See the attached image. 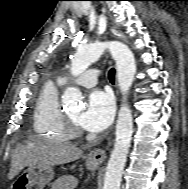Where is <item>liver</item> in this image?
Instances as JSON below:
<instances>
[{
    "label": "liver",
    "instance_id": "1",
    "mask_svg": "<svg viewBox=\"0 0 188 189\" xmlns=\"http://www.w3.org/2000/svg\"><path fill=\"white\" fill-rule=\"evenodd\" d=\"M83 155V151L70 144L45 143L41 145H17L13 154L8 179L12 180L26 166H54L75 161ZM64 182L77 185L72 176L64 178Z\"/></svg>",
    "mask_w": 188,
    "mask_h": 189
}]
</instances>
